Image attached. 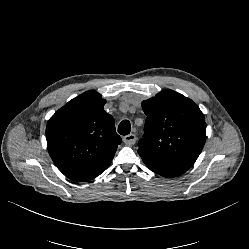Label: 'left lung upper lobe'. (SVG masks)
<instances>
[{"label":"left lung upper lobe","mask_w":249,"mask_h":249,"mask_svg":"<svg viewBox=\"0 0 249 249\" xmlns=\"http://www.w3.org/2000/svg\"><path fill=\"white\" fill-rule=\"evenodd\" d=\"M142 108L147 118L138 153L144 163L187 171L206 140L205 117L197 104L167 89L143 101Z\"/></svg>","instance_id":"obj_1"}]
</instances>
